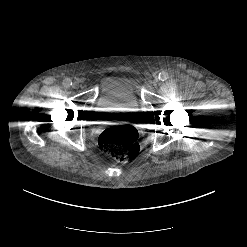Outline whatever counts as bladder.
Segmentation results:
<instances>
[{
	"label": "bladder",
	"instance_id": "obj_1",
	"mask_svg": "<svg viewBox=\"0 0 247 247\" xmlns=\"http://www.w3.org/2000/svg\"><path fill=\"white\" fill-rule=\"evenodd\" d=\"M138 105L135 86L129 78L118 75L103 78L96 101V106L100 109L96 113L98 118L131 116L135 114L133 109Z\"/></svg>",
	"mask_w": 247,
	"mask_h": 247
}]
</instances>
